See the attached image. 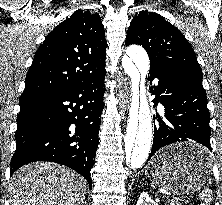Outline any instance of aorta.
I'll list each match as a JSON object with an SVG mask.
<instances>
[{"label":"aorta","mask_w":222,"mask_h":205,"mask_svg":"<svg viewBox=\"0 0 222 205\" xmlns=\"http://www.w3.org/2000/svg\"><path fill=\"white\" fill-rule=\"evenodd\" d=\"M122 65L132 79L130 119L123 145L124 164L138 169L146 162L152 145V117L144 86V78L149 71V58L142 47L133 45L127 48ZM140 75L142 82L139 89Z\"/></svg>","instance_id":"aorta-1"}]
</instances>
